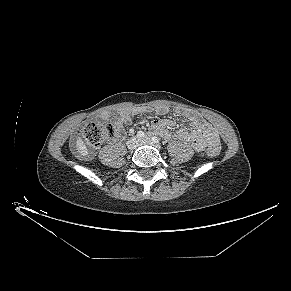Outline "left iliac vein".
<instances>
[{
  "label": "left iliac vein",
  "mask_w": 291,
  "mask_h": 291,
  "mask_svg": "<svg viewBox=\"0 0 291 291\" xmlns=\"http://www.w3.org/2000/svg\"><path fill=\"white\" fill-rule=\"evenodd\" d=\"M138 144L139 145L149 144V145H154L157 148H160L159 145L154 144L149 138H144V139L138 140Z\"/></svg>",
  "instance_id": "left-iliac-vein-1"
}]
</instances>
